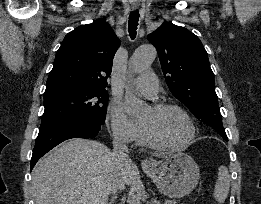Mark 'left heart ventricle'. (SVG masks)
Listing matches in <instances>:
<instances>
[{"instance_id": "left-heart-ventricle-1", "label": "left heart ventricle", "mask_w": 261, "mask_h": 204, "mask_svg": "<svg viewBox=\"0 0 261 204\" xmlns=\"http://www.w3.org/2000/svg\"><path fill=\"white\" fill-rule=\"evenodd\" d=\"M141 123L150 126L164 143L170 145L183 143L190 133L186 119L176 110L155 114L148 108L141 118Z\"/></svg>"}]
</instances>
